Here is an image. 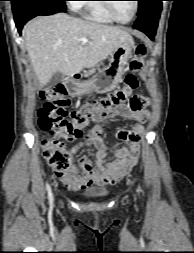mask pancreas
<instances>
[{
    "mask_svg": "<svg viewBox=\"0 0 194 253\" xmlns=\"http://www.w3.org/2000/svg\"><path fill=\"white\" fill-rule=\"evenodd\" d=\"M94 71H95V69H92V70H90L88 73H86V75L91 74V73H93Z\"/></svg>",
    "mask_w": 194,
    "mask_h": 253,
    "instance_id": "cf45deb5",
    "label": "pancreas"
}]
</instances>
